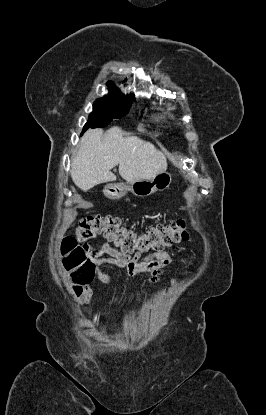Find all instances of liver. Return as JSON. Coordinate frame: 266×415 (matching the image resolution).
<instances>
[{"label":"liver","mask_w":266,"mask_h":415,"mask_svg":"<svg viewBox=\"0 0 266 415\" xmlns=\"http://www.w3.org/2000/svg\"><path fill=\"white\" fill-rule=\"evenodd\" d=\"M119 165V174L127 182L153 179L166 171L165 155L152 143L136 136L124 137L120 127L89 129L81 138L71 163V178L83 191L112 182L111 169Z\"/></svg>","instance_id":"liver-1"}]
</instances>
